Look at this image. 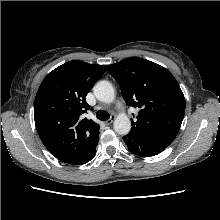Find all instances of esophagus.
I'll return each instance as SVG.
<instances>
[{"label": "esophagus", "mask_w": 220, "mask_h": 220, "mask_svg": "<svg viewBox=\"0 0 220 220\" xmlns=\"http://www.w3.org/2000/svg\"><path fill=\"white\" fill-rule=\"evenodd\" d=\"M114 119H115V117H114V116H112L110 119H108L107 121H105V122H104V123H105V125H106V126H108V125L112 124V123H113V121H114Z\"/></svg>", "instance_id": "obj_1"}]
</instances>
